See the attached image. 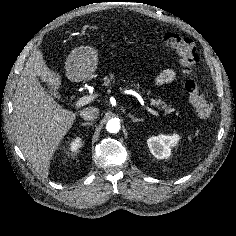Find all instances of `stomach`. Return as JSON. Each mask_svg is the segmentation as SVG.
<instances>
[{
    "instance_id": "1",
    "label": "stomach",
    "mask_w": 236,
    "mask_h": 236,
    "mask_svg": "<svg viewBox=\"0 0 236 236\" xmlns=\"http://www.w3.org/2000/svg\"><path fill=\"white\" fill-rule=\"evenodd\" d=\"M97 51L89 46L75 48L66 60V75L72 81L89 77L97 69Z\"/></svg>"
}]
</instances>
